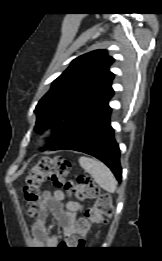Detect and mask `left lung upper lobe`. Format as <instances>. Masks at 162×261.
Returning <instances> with one entry per match:
<instances>
[{
	"instance_id": "left-lung-upper-lobe-1",
	"label": "left lung upper lobe",
	"mask_w": 162,
	"mask_h": 261,
	"mask_svg": "<svg viewBox=\"0 0 162 261\" xmlns=\"http://www.w3.org/2000/svg\"><path fill=\"white\" fill-rule=\"evenodd\" d=\"M114 59L104 50L77 57L53 82L42 97L37 112L35 131L55 129L47 149L58 144L77 127L97 114L111 99L114 74L109 71Z\"/></svg>"
}]
</instances>
